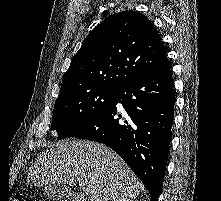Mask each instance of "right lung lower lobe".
<instances>
[{
    "mask_svg": "<svg viewBox=\"0 0 221 201\" xmlns=\"http://www.w3.org/2000/svg\"><path fill=\"white\" fill-rule=\"evenodd\" d=\"M173 86L166 60L152 72L120 85L108 107L67 137L111 147L143 182L151 201H158L171 140Z\"/></svg>",
    "mask_w": 221,
    "mask_h": 201,
    "instance_id": "1",
    "label": "right lung lower lobe"
}]
</instances>
